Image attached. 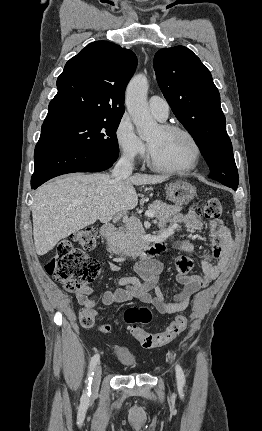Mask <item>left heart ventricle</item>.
I'll return each instance as SVG.
<instances>
[{"mask_svg":"<svg viewBox=\"0 0 262 431\" xmlns=\"http://www.w3.org/2000/svg\"><path fill=\"white\" fill-rule=\"evenodd\" d=\"M154 159L163 166L185 167L193 157L190 140L179 132H164L157 127L147 137Z\"/></svg>","mask_w":262,"mask_h":431,"instance_id":"b2bd125f","label":"left heart ventricle"}]
</instances>
